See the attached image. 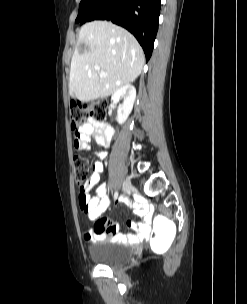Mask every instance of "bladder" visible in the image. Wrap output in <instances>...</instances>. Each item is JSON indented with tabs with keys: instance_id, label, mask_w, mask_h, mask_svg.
I'll return each mask as SVG.
<instances>
[{
	"instance_id": "31cf9c89",
	"label": "bladder",
	"mask_w": 247,
	"mask_h": 304,
	"mask_svg": "<svg viewBox=\"0 0 247 304\" xmlns=\"http://www.w3.org/2000/svg\"><path fill=\"white\" fill-rule=\"evenodd\" d=\"M132 254L131 246L112 240H103L89 248L90 259L100 265L120 267Z\"/></svg>"
}]
</instances>
